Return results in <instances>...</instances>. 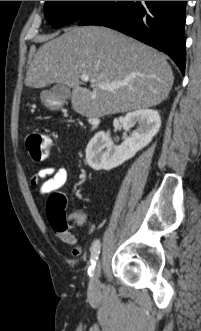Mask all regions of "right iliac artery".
I'll use <instances>...</instances> for the list:
<instances>
[{"label":"right iliac artery","instance_id":"obj_1","mask_svg":"<svg viewBox=\"0 0 201 331\" xmlns=\"http://www.w3.org/2000/svg\"><path fill=\"white\" fill-rule=\"evenodd\" d=\"M100 241L95 240L91 246V259H90V267L88 270L89 275L91 276L92 270L94 269L95 263L98 259L99 253H100Z\"/></svg>","mask_w":201,"mask_h":331}]
</instances>
